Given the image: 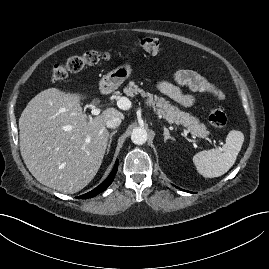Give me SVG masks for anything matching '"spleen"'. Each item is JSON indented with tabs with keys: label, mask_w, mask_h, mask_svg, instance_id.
I'll return each instance as SVG.
<instances>
[{
	"label": "spleen",
	"mask_w": 269,
	"mask_h": 269,
	"mask_svg": "<svg viewBox=\"0 0 269 269\" xmlns=\"http://www.w3.org/2000/svg\"><path fill=\"white\" fill-rule=\"evenodd\" d=\"M243 142V133L231 130L222 148L204 150L194 155L193 162L198 172L206 178L224 175L234 165Z\"/></svg>",
	"instance_id": "1"
}]
</instances>
